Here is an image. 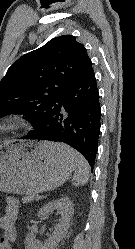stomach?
<instances>
[{
	"mask_svg": "<svg viewBox=\"0 0 135 249\" xmlns=\"http://www.w3.org/2000/svg\"><path fill=\"white\" fill-rule=\"evenodd\" d=\"M57 146L46 141L0 144V191L34 195L61 186L75 167Z\"/></svg>",
	"mask_w": 135,
	"mask_h": 249,
	"instance_id": "stomach-1",
	"label": "stomach"
}]
</instances>
